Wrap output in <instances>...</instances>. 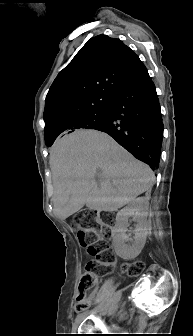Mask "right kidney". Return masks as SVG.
<instances>
[{
	"label": "right kidney",
	"instance_id": "obj_1",
	"mask_svg": "<svg viewBox=\"0 0 193 336\" xmlns=\"http://www.w3.org/2000/svg\"><path fill=\"white\" fill-rule=\"evenodd\" d=\"M149 202L145 197L133 199L128 205L120 210L116 216V224L113 230L117 253L124 258H134L143 249L148 228ZM129 217L137 223L133 231L134 239L131 234H126Z\"/></svg>",
	"mask_w": 193,
	"mask_h": 336
}]
</instances>
